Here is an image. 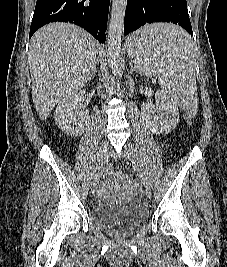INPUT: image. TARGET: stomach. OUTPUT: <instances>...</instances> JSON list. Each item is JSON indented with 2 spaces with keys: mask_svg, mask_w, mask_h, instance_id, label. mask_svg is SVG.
<instances>
[{
  "mask_svg": "<svg viewBox=\"0 0 227 267\" xmlns=\"http://www.w3.org/2000/svg\"><path fill=\"white\" fill-rule=\"evenodd\" d=\"M138 31H141V29L140 30H138ZM129 38H132V36L130 35V37ZM129 56V55H128ZM135 65H136V63H135Z\"/></svg>",
  "mask_w": 227,
  "mask_h": 267,
  "instance_id": "0dacf381",
  "label": "stomach"
}]
</instances>
